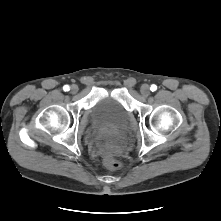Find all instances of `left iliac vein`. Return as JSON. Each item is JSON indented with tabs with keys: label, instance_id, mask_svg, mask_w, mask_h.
Segmentation results:
<instances>
[{
	"label": "left iliac vein",
	"instance_id": "4c4485c4",
	"mask_svg": "<svg viewBox=\"0 0 221 221\" xmlns=\"http://www.w3.org/2000/svg\"><path fill=\"white\" fill-rule=\"evenodd\" d=\"M142 96L148 97L150 95V87L147 84H143L140 88Z\"/></svg>",
	"mask_w": 221,
	"mask_h": 221
}]
</instances>
